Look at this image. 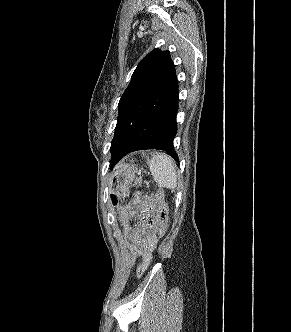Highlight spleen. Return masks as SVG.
Instances as JSON below:
<instances>
[{"label": "spleen", "mask_w": 291, "mask_h": 332, "mask_svg": "<svg viewBox=\"0 0 291 332\" xmlns=\"http://www.w3.org/2000/svg\"><path fill=\"white\" fill-rule=\"evenodd\" d=\"M149 168L154 180L161 187L174 189L177 186L176 164L165 153H156L149 161Z\"/></svg>", "instance_id": "1"}]
</instances>
